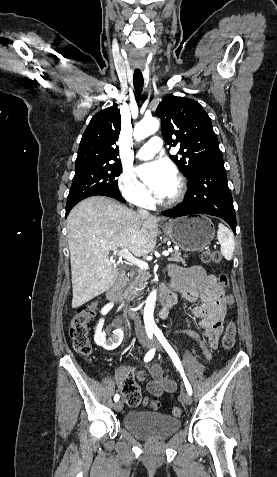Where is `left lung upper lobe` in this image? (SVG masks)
I'll use <instances>...</instances> for the list:
<instances>
[{
  "mask_svg": "<svg viewBox=\"0 0 277 477\" xmlns=\"http://www.w3.org/2000/svg\"><path fill=\"white\" fill-rule=\"evenodd\" d=\"M156 115L162 121L165 143L170 147L180 143V156L171 159L188 180L200 165L223 160L211 119L197 101L168 95L157 107Z\"/></svg>",
  "mask_w": 277,
  "mask_h": 477,
  "instance_id": "1",
  "label": "left lung upper lobe"
}]
</instances>
